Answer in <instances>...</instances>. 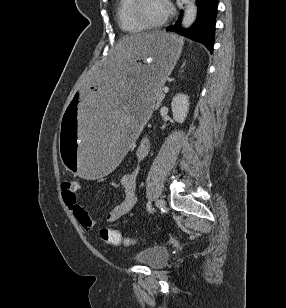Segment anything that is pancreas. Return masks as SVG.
<instances>
[{
  "label": "pancreas",
  "instance_id": "pancreas-1",
  "mask_svg": "<svg viewBox=\"0 0 286 308\" xmlns=\"http://www.w3.org/2000/svg\"><path fill=\"white\" fill-rule=\"evenodd\" d=\"M164 98V93L162 92V90L160 89L158 92H157V96H156V105L154 104V106H156V108L159 106L160 102L162 101V99Z\"/></svg>",
  "mask_w": 286,
  "mask_h": 308
}]
</instances>
